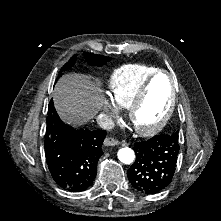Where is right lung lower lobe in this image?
Wrapping results in <instances>:
<instances>
[{"instance_id":"98d812e1","label":"right lung lower lobe","mask_w":221,"mask_h":221,"mask_svg":"<svg viewBox=\"0 0 221 221\" xmlns=\"http://www.w3.org/2000/svg\"><path fill=\"white\" fill-rule=\"evenodd\" d=\"M45 134V156L54 181L70 192L86 190L94 181L102 156L104 130H75L63 123L50 101Z\"/></svg>"}]
</instances>
